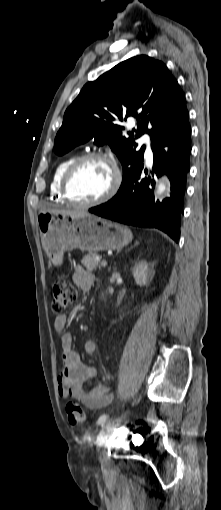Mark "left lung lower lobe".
Here are the masks:
<instances>
[{"instance_id": "0a47b994", "label": "left lung lower lobe", "mask_w": 221, "mask_h": 510, "mask_svg": "<svg viewBox=\"0 0 221 510\" xmlns=\"http://www.w3.org/2000/svg\"><path fill=\"white\" fill-rule=\"evenodd\" d=\"M189 119V118H188ZM188 119L151 140L153 151L152 175L166 174L171 182L170 198L154 202L151 177L142 178L143 160L126 184L108 202L89 209V212L139 227L158 228L177 241L187 174L190 170L191 127Z\"/></svg>"}]
</instances>
